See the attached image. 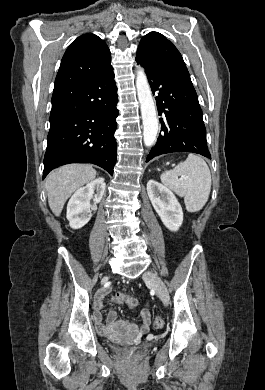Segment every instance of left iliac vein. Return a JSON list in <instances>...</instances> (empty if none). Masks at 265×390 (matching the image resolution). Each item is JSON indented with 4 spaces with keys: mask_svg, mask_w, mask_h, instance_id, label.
<instances>
[{
    "mask_svg": "<svg viewBox=\"0 0 265 390\" xmlns=\"http://www.w3.org/2000/svg\"><path fill=\"white\" fill-rule=\"evenodd\" d=\"M143 280L146 283L151 284L155 289L158 297L162 300V302L165 305H168L170 300L169 293L163 281L155 273L151 271H146L143 274Z\"/></svg>",
    "mask_w": 265,
    "mask_h": 390,
    "instance_id": "obj_1",
    "label": "left iliac vein"
}]
</instances>
